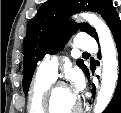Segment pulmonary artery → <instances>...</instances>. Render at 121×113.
Masks as SVG:
<instances>
[{
	"label": "pulmonary artery",
	"instance_id": "obj_1",
	"mask_svg": "<svg viewBox=\"0 0 121 113\" xmlns=\"http://www.w3.org/2000/svg\"><path fill=\"white\" fill-rule=\"evenodd\" d=\"M77 47L81 51H93L95 42L93 38L87 34L78 35ZM59 60L57 56L45 58L38 67V73L51 79H56Z\"/></svg>",
	"mask_w": 121,
	"mask_h": 113
}]
</instances>
